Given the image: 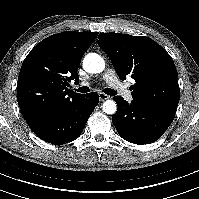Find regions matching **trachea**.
Here are the masks:
<instances>
[{"instance_id": "3493384b", "label": "trachea", "mask_w": 199, "mask_h": 199, "mask_svg": "<svg viewBox=\"0 0 199 199\" xmlns=\"http://www.w3.org/2000/svg\"><path fill=\"white\" fill-rule=\"evenodd\" d=\"M77 92H80V93H87L90 91V89L88 87H80L78 89H76ZM104 93L108 94V95H111V96H114L116 95V91L111 89V88H106L104 90Z\"/></svg>"}]
</instances>
